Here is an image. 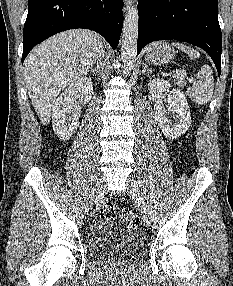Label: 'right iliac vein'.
<instances>
[{
    "instance_id": "1",
    "label": "right iliac vein",
    "mask_w": 233,
    "mask_h": 286,
    "mask_svg": "<svg viewBox=\"0 0 233 286\" xmlns=\"http://www.w3.org/2000/svg\"><path fill=\"white\" fill-rule=\"evenodd\" d=\"M105 182L106 179L104 176H101L98 182V186L95 192V200H96V204L99 205V203L101 202V200L104 197L105 194Z\"/></svg>"
}]
</instances>
